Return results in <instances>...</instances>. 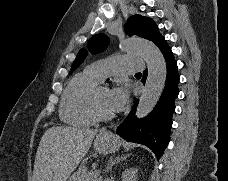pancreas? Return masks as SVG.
I'll return each instance as SVG.
<instances>
[{"mask_svg": "<svg viewBox=\"0 0 228 181\" xmlns=\"http://www.w3.org/2000/svg\"><path fill=\"white\" fill-rule=\"evenodd\" d=\"M99 175L97 171H88L87 167H81L74 175H72L69 181H97L95 177Z\"/></svg>", "mask_w": 228, "mask_h": 181, "instance_id": "pancreas-1", "label": "pancreas"}]
</instances>
